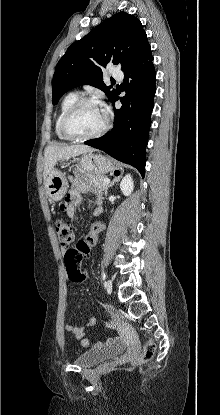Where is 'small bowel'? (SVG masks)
Listing matches in <instances>:
<instances>
[{
    "label": "small bowel",
    "instance_id": "1",
    "mask_svg": "<svg viewBox=\"0 0 220 415\" xmlns=\"http://www.w3.org/2000/svg\"><path fill=\"white\" fill-rule=\"evenodd\" d=\"M89 190H93L97 197L93 200V215L97 216L101 214L103 207L102 202L99 197L98 191L91 189L86 183L82 181H76L73 185V189L68 193L66 198V212L69 217L72 219H76V212L77 208L81 205L82 202V195L87 193ZM103 230V225L99 222L94 223L88 234L83 239L87 242L90 249L95 246L97 243L98 237ZM65 249H62L64 251ZM95 324L94 318H88L85 322L86 326H93ZM66 330L72 333L76 339L81 342V345L85 348H93V349H102L106 347H110L117 344V340L115 339H108L106 341H92L90 338L86 336V331L83 326H78L75 324H67Z\"/></svg>",
    "mask_w": 220,
    "mask_h": 415
}]
</instances>
